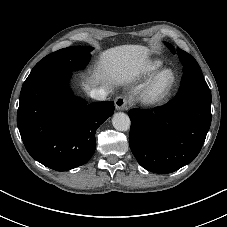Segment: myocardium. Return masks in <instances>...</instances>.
Returning <instances> with one entry per match:
<instances>
[{
    "label": "myocardium",
    "mask_w": 227,
    "mask_h": 227,
    "mask_svg": "<svg viewBox=\"0 0 227 227\" xmlns=\"http://www.w3.org/2000/svg\"><path fill=\"white\" fill-rule=\"evenodd\" d=\"M169 74L170 79L163 82L164 75ZM177 82V75L171 68H162L156 71L144 85L140 97L145 104H156L165 99Z\"/></svg>",
    "instance_id": "f54148a6"
}]
</instances>
